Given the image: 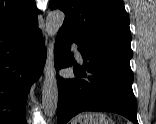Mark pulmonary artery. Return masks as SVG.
I'll list each match as a JSON object with an SVG mask.
<instances>
[{"mask_svg":"<svg viewBox=\"0 0 156 124\" xmlns=\"http://www.w3.org/2000/svg\"><path fill=\"white\" fill-rule=\"evenodd\" d=\"M73 50H74V53H75V56H76L77 60L81 62L82 61V56H81V53H80L77 45L73 46Z\"/></svg>","mask_w":156,"mask_h":124,"instance_id":"e3ab8cb5","label":"pulmonary artery"}]
</instances>
